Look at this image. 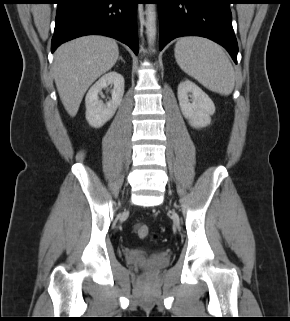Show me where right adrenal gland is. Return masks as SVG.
<instances>
[{
	"mask_svg": "<svg viewBox=\"0 0 290 321\" xmlns=\"http://www.w3.org/2000/svg\"><path fill=\"white\" fill-rule=\"evenodd\" d=\"M119 60H121L122 62L125 63V61L123 60L122 56L119 57Z\"/></svg>",
	"mask_w": 290,
	"mask_h": 321,
	"instance_id": "2a0ac1e0",
	"label": "right adrenal gland"
}]
</instances>
